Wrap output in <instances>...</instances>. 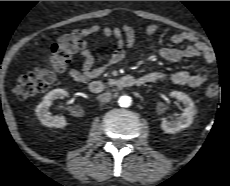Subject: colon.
<instances>
[{
    "instance_id": "5ec220e1",
    "label": "colon",
    "mask_w": 230,
    "mask_h": 186,
    "mask_svg": "<svg viewBox=\"0 0 230 186\" xmlns=\"http://www.w3.org/2000/svg\"><path fill=\"white\" fill-rule=\"evenodd\" d=\"M84 47L85 41L81 31L61 36L51 47V57L47 66L38 67L17 79L16 96L26 99L45 92L54 81L55 72L64 69L72 56ZM219 92L220 86L215 82L210 83L205 90L209 98L216 97Z\"/></svg>"
}]
</instances>
